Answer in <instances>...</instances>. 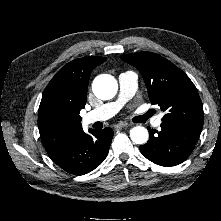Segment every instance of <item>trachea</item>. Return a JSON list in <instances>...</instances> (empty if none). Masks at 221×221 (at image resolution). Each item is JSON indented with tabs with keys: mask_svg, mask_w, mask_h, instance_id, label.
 <instances>
[{
	"mask_svg": "<svg viewBox=\"0 0 221 221\" xmlns=\"http://www.w3.org/2000/svg\"><path fill=\"white\" fill-rule=\"evenodd\" d=\"M152 115V112L151 111H149L147 114H145L143 117H142V119H147L149 116H151Z\"/></svg>",
	"mask_w": 221,
	"mask_h": 221,
	"instance_id": "3493384b",
	"label": "trachea"
}]
</instances>
